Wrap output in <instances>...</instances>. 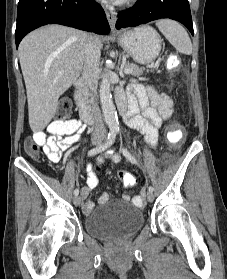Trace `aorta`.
Here are the masks:
<instances>
[{"label":"aorta","instance_id":"aorta-1","mask_svg":"<svg viewBox=\"0 0 227 279\" xmlns=\"http://www.w3.org/2000/svg\"><path fill=\"white\" fill-rule=\"evenodd\" d=\"M108 68L109 65L107 64ZM100 101L102 105V112L104 116L105 123L111 130L119 128L118 116L116 112L115 105L112 101V94L110 90V81L108 73H105L102 77V82L100 84Z\"/></svg>","mask_w":227,"mask_h":279}]
</instances>
